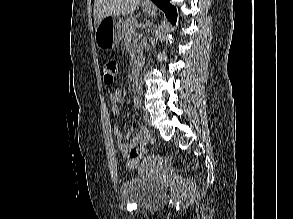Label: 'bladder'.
<instances>
[{"label": "bladder", "instance_id": "31cf9c89", "mask_svg": "<svg viewBox=\"0 0 293 219\" xmlns=\"http://www.w3.org/2000/svg\"><path fill=\"white\" fill-rule=\"evenodd\" d=\"M165 190L141 178L126 180L119 189V198L126 203H134L144 208H154L162 203Z\"/></svg>", "mask_w": 293, "mask_h": 219}]
</instances>
